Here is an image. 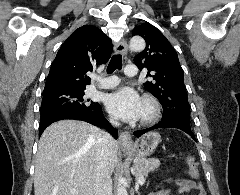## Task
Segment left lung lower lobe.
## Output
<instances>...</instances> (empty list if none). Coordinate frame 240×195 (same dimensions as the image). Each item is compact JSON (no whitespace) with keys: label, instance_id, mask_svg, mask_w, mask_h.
I'll list each match as a JSON object with an SVG mask.
<instances>
[{"label":"left lung lower lobe","instance_id":"obj_1","mask_svg":"<svg viewBox=\"0 0 240 195\" xmlns=\"http://www.w3.org/2000/svg\"><path fill=\"white\" fill-rule=\"evenodd\" d=\"M158 128H177V129H180V130L186 132L193 139H195L194 138V134L191 131L190 124H187V123H184V122H180V121H176V120H161L158 124L154 125L153 127L135 131L133 134L138 138L142 134H144V133H146L148 131L154 130V129H158Z\"/></svg>","mask_w":240,"mask_h":195}]
</instances>
